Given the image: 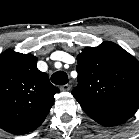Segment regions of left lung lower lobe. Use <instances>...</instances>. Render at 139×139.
I'll use <instances>...</instances> for the list:
<instances>
[{
  "label": "left lung lower lobe",
  "mask_w": 139,
  "mask_h": 139,
  "mask_svg": "<svg viewBox=\"0 0 139 139\" xmlns=\"http://www.w3.org/2000/svg\"><path fill=\"white\" fill-rule=\"evenodd\" d=\"M135 113L134 112H124V113H95L90 114L89 116L104 126H114L118 125L130 117H132Z\"/></svg>",
  "instance_id": "left-lung-lower-lobe-1"
}]
</instances>
